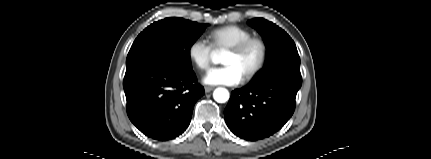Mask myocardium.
<instances>
[{
    "label": "myocardium",
    "instance_id": "f54148a6",
    "mask_svg": "<svg viewBox=\"0 0 431 159\" xmlns=\"http://www.w3.org/2000/svg\"><path fill=\"white\" fill-rule=\"evenodd\" d=\"M252 46H257L259 48V59L256 66L249 73L243 76V79L246 81L254 79L263 70L268 56L266 42L260 37L252 36L227 50V52L234 55H242Z\"/></svg>",
    "mask_w": 431,
    "mask_h": 159
}]
</instances>
